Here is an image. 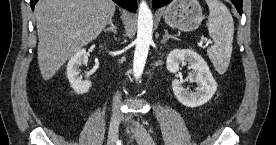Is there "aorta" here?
Returning a JSON list of instances; mask_svg holds the SVG:
<instances>
[{"mask_svg":"<svg viewBox=\"0 0 276 145\" xmlns=\"http://www.w3.org/2000/svg\"><path fill=\"white\" fill-rule=\"evenodd\" d=\"M153 16L147 3L143 0L138 8L136 48L133 58V75L139 79L143 73L149 46L152 42Z\"/></svg>","mask_w":276,"mask_h":145,"instance_id":"762f6f07","label":"aorta"}]
</instances>
